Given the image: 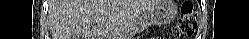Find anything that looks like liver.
Wrapping results in <instances>:
<instances>
[{"instance_id": "liver-1", "label": "liver", "mask_w": 249, "mask_h": 39, "mask_svg": "<svg viewBox=\"0 0 249 39\" xmlns=\"http://www.w3.org/2000/svg\"><path fill=\"white\" fill-rule=\"evenodd\" d=\"M156 0H56L50 6L53 39H118ZM96 25L91 29L92 23Z\"/></svg>"}]
</instances>
